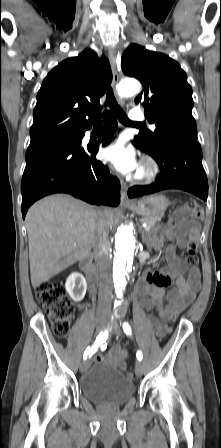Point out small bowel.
Here are the masks:
<instances>
[{
  "mask_svg": "<svg viewBox=\"0 0 221 448\" xmlns=\"http://www.w3.org/2000/svg\"><path fill=\"white\" fill-rule=\"evenodd\" d=\"M198 237L194 227L178 225L171 222L163 225L153 233L149 242L155 251L165 247L167 266L161 272L148 271L144 280L138 284V291L142 295L141 307L155 310L159 318L148 317V321L160 338L171 333L172 329L162 322L175 319L195 299L201 287V275L198 267H190L176 254L177 249H184ZM187 275V277H185ZM174 288L168 290V287ZM127 354L119 346H113L106 356L96 355L95 362L107 360L116 367L126 368Z\"/></svg>",
  "mask_w": 221,
  "mask_h": 448,
  "instance_id": "obj_1",
  "label": "small bowel"
}]
</instances>
